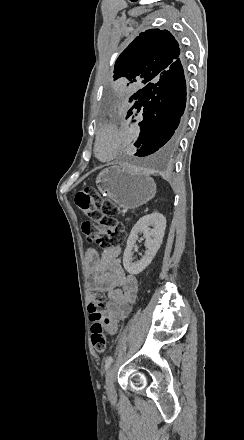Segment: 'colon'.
<instances>
[{"label":"colon","mask_w":244,"mask_h":440,"mask_svg":"<svg viewBox=\"0 0 244 440\" xmlns=\"http://www.w3.org/2000/svg\"><path fill=\"white\" fill-rule=\"evenodd\" d=\"M74 202L79 212L88 219L82 223L81 228L90 241L108 249L114 247L119 239L125 238L126 223L117 221V209L112 203L102 200L101 196L90 188L78 191ZM104 297L103 292H95L88 305L91 320L90 338L97 354H103L107 349Z\"/></svg>","instance_id":"obj_1"}]
</instances>
